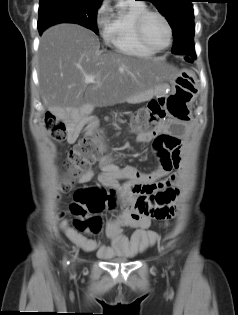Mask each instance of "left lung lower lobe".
Wrapping results in <instances>:
<instances>
[{"instance_id":"1","label":"left lung lower lobe","mask_w":238,"mask_h":315,"mask_svg":"<svg viewBox=\"0 0 238 315\" xmlns=\"http://www.w3.org/2000/svg\"><path fill=\"white\" fill-rule=\"evenodd\" d=\"M172 53L174 54H188L193 58H196L194 43H191L183 36L174 37V45L172 47ZM190 61L188 57L185 58Z\"/></svg>"}]
</instances>
